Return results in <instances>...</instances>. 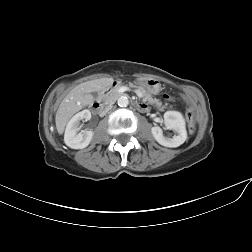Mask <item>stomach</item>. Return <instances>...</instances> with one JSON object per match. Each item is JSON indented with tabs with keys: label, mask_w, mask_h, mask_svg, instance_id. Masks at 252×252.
<instances>
[{
	"label": "stomach",
	"mask_w": 252,
	"mask_h": 252,
	"mask_svg": "<svg viewBox=\"0 0 252 252\" xmlns=\"http://www.w3.org/2000/svg\"><path fill=\"white\" fill-rule=\"evenodd\" d=\"M140 87L149 94H158L161 91V84L157 79H146L140 82Z\"/></svg>",
	"instance_id": "1"
}]
</instances>
